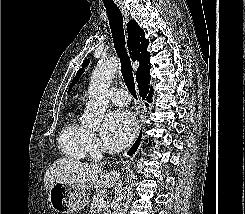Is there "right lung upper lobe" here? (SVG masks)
I'll list each match as a JSON object with an SVG mask.
<instances>
[{
    "mask_svg": "<svg viewBox=\"0 0 245 214\" xmlns=\"http://www.w3.org/2000/svg\"><path fill=\"white\" fill-rule=\"evenodd\" d=\"M128 49L131 59L139 61L140 65L136 71V81H139L143 75L150 70V54L147 52L149 40L145 38L144 31L139 27L135 20L127 24Z\"/></svg>",
    "mask_w": 245,
    "mask_h": 214,
    "instance_id": "obj_1",
    "label": "right lung upper lobe"
}]
</instances>
